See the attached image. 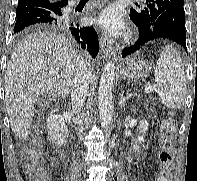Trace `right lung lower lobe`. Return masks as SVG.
<instances>
[{"mask_svg":"<svg viewBox=\"0 0 197 181\" xmlns=\"http://www.w3.org/2000/svg\"><path fill=\"white\" fill-rule=\"evenodd\" d=\"M68 0H19L14 32L32 25L51 26L70 32L83 49L92 57L99 51L97 34L93 27H82L78 22L64 18L62 9Z\"/></svg>","mask_w":197,"mask_h":181,"instance_id":"obj_1","label":"right lung lower lobe"}]
</instances>
